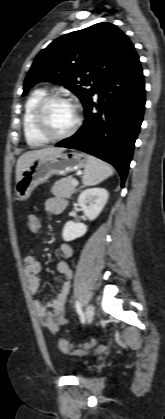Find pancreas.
<instances>
[{
    "instance_id": "cf45deb5",
    "label": "pancreas",
    "mask_w": 165,
    "mask_h": 419,
    "mask_svg": "<svg viewBox=\"0 0 165 419\" xmlns=\"http://www.w3.org/2000/svg\"><path fill=\"white\" fill-rule=\"evenodd\" d=\"M73 180L72 176L57 180L51 188V193L57 197L70 198L75 192V186L71 184Z\"/></svg>"
}]
</instances>
